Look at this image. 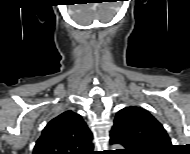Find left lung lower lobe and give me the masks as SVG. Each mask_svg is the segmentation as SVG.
I'll use <instances>...</instances> for the list:
<instances>
[{"label":"left lung lower lobe","mask_w":190,"mask_h":154,"mask_svg":"<svg viewBox=\"0 0 190 154\" xmlns=\"http://www.w3.org/2000/svg\"><path fill=\"white\" fill-rule=\"evenodd\" d=\"M110 143L111 144H121V145H123L125 147L123 152L126 153V154H133V152H134L132 150L131 146L116 134L110 135Z\"/></svg>","instance_id":"obj_1"}]
</instances>
